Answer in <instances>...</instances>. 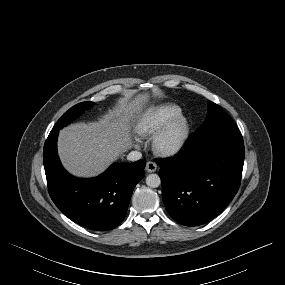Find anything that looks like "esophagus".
<instances>
[{"mask_svg": "<svg viewBox=\"0 0 285 285\" xmlns=\"http://www.w3.org/2000/svg\"><path fill=\"white\" fill-rule=\"evenodd\" d=\"M146 170H147L148 172H155V171L157 170V165H156V163L153 162V161H148V162L146 163Z\"/></svg>", "mask_w": 285, "mask_h": 285, "instance_id": "esophagus-1", "label": "esophagus"}]
</instances>
